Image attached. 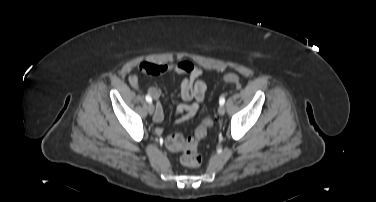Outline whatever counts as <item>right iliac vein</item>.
<instances>
[{
  "mask_svg": "<svg viewBox=\"0 0 376 202\" xmlns=\"http://www.w3.org/2000/svg\"><path fill=\"white\" fill-rule=\"evenodd\" d=\"M148 112L151 115L154 113V105L152 103H149L148 105Z\"/></svg>",
  "mask_w": 376,
  "mask_h": 202,
  "instance_id": "63e3f726",
  "label": "right iliac vein"
}]
</instances>
